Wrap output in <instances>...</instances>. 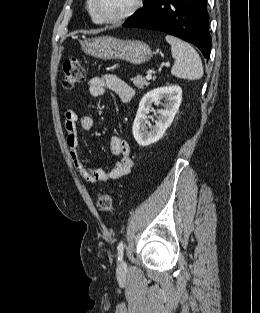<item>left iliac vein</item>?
<instances>
[{"mask_svg":"<svg viewBox=\"0 0 260 313\" xmlns=\"http://www.w3.org/2000/svg\"><path fill=\"white\" fill-rule=\"evenodd\" d=\"M125 266V263L123 262V261H121L120 263H119V268L121 269V268H123Z\"/></svg>","mask_w":260,"mask_h":313,"instance_id":"1","label":"left iliac vein"}]
</instances>
